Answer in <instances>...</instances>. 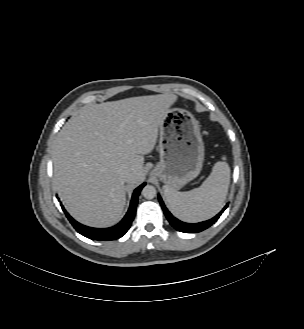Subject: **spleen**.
Listing matches in <instances>:
<instances>
[{
    "label": "spleen",
    "instance_id": "spleen-1",
    "mask_svg": "<svg viewBox=\"0 0 304 329\" xmlns=\"http://www.w3.org/2000/svg\"><path fill=\"white\" fill-rule=\"evenodd\" d=\"M229 183L230 167L227 162L219 161L200 187L178 192L165 185L164 194L176 217L186 222H200L210 219L221 210Z\"/></svg>",
    "mask_w": 304,
    "mask_h": 329
}]
</instances>
